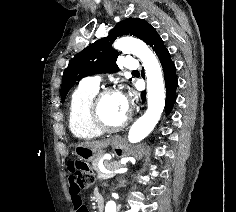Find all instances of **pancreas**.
<instances>
[{
    "label": "pancreas",
    "instance_id": "obj_1",
    "mask_svg": "<svg viewBox=\"0 0 236 212\" xmlns=\"http://www.w3.org/2000/svg\"><path fill=\"white\" fill-rule=\"evenodd\" d=\"M98 162H99V159H95L93 162H92V168L97 172L98 176L97 178L98 179H103L101 176H102V173L100 172L99 168H98ZM104 165L105 167L108 169V170H114V169H118L121 167L120 163L117 162V161H114V162H107L105 161L104 162Z\"/></svg>",
    "mask_w": 236,
    "mask_h": 212
}]
</instances>
